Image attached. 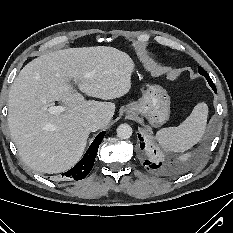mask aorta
Returning <instances> with one entry per match:
<instances>
[{
  "instance_id": "1",
  "label": "aorta",
  "mask_w": 233,
  "mask_h": 233,
  "mask_svg": "<svg viewBox=\"0 0 233 233\" xmlns=\"http://www.w3.org/2000/svg\"><path fill=\"white\" fill-rule=\"evenodd\" d=\"M132 135V128L128 124H121L117 128V136L121 139H128Z\"/></svg>"
}]
</instances>
